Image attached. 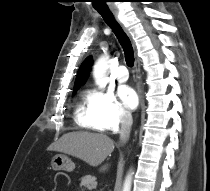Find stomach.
Masks as SVG:
<instances>
[{"mask_svg": "<svg viewBox=\"0 0 210 191\" xmlns=\"http://www.w3.org/2000/svg\"><path fill=\"white\" fill-rule=\"evenodd\" d=\"M51 167L55 171H67L71 172L75 168V164L66 155L58 154L55 155L51 160Z\"/></svg>", "mask_w": 210, "mask_h": 191, "instance_id": "obj_1", "label": "stomach"}]
</instances>
